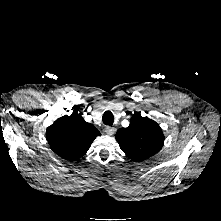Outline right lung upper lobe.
Wrapping results in <instances>:
<instances>
[{
    "instance_id": "obj_1",
    "label": "right lung upper lobe",
    "mask_w": 221,
    "mask_h": 221,
    "mask_svg": "<svg viewBox=\"0 0 221 221\" xmlns=\"http://www.w3.org/2000/svg\"><path fill=\"white\" fill-rule=\"evenodd\" d=\"M99 135L97 128L87 123L77 111L57 119L46 131L51 149L66 160L82 157Z\"/></svg>"
}]
</instances>
